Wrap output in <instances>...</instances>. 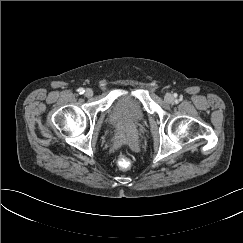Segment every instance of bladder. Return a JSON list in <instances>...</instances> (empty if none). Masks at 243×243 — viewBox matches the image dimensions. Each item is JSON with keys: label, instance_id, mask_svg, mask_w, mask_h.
Returning a JSON list of instances; mask_svg holds the SVG:
<instances>
[{"label": "bladder", "instance_id": "31cf9c89", "mask_svg": "<svg viewBox=\"0 0 243 243\" xmlns=\"http://www.w3.org/2000/svg\"><path fill=\"white\" fill-rule=\"evenodd\" d=\"M109 118L114 126L130 129L143 122L144 114L131 98L121 97L113 104Z\"/></svg>", "mask_w": 243, "mask_h": 243}]
</instances>
